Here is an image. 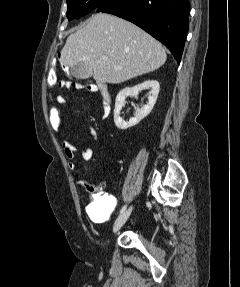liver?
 I'll use <instances>...</instances> for the list:
<instances>
[{
    "mask_svg": "<svg viewBox=\"0 0 240 287\" xmlns=\"http://www.w3.org/2000/svg\"><path fill=\"white\" fill-rule=\"evenodd\" d=\"M166 58L161 43L141 28L99 13L67 38L60 62L66 67L85 63L97 82L119 84L158 69Z\"/></svg>",
    "mask_w": 240,
    "mask_h": 287,
    "instance_id": "liver-1",
    "label": "liver"
}]
</instances>
